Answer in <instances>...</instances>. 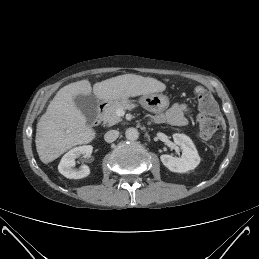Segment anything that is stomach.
<instances>
[{
    "label": "stomach",
    "instance_id": "obj_1",
    "mask_svg": "<svg viewBox=\"0 0 259 259\" xmlns=\"http://www.w3.org/2000/svg\"><path fill=\"white\" fill-rule=\"evenodd\" d=\"M127 102L128 98L108 101L110 104H123ZM139 103L145 109L157 113L165 110L169 106V99L167 96L158 93L143 94L139 99Z\"/></svg>",
    "mask_w": 259,
    "mask_h": 259
}]
</instances>
